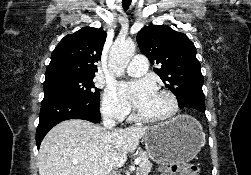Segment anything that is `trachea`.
<instances>
[{"label": "trachea", "instance_id": "obj_1", "mask_svg": "<svg viewBox=\"0 0 251 175\" xmlns=\"http://www.w3.org/2000/svg\"><path fill=\"white\" fill-rule=\"evenodd\" d=\"M131 0H122V6L124 10H128Z\"/></svg>", "mask_w": 251, "mask_h": 175}]
</instances>
